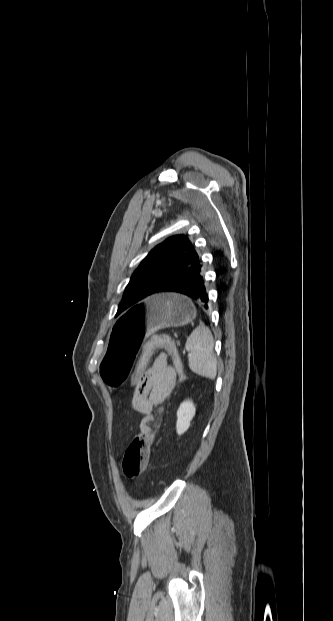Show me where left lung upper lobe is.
<instances>
[{"label": "left lung upper lobe", "mask_w": 333, "mask_h": 621, "mask_svg": "<svg viewBox=\"0 0 333 621\" xmlns=\"http://www.w3.org/2000/svg\"><path fill=\"white\" fill-rule=\"evenodd\" d=\"M200 264V257L186 235L167 238L149 252L131 276L116 316L135 308L165 283Z\"/></svg>", "instance_id": "1"}]
</instances>
